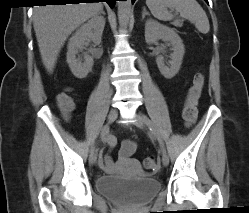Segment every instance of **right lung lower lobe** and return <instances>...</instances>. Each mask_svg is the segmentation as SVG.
Masks as SVG:
<instances>
[{
    "label": "right lung lower lobe",
    "mask_w": 249,
    "mask_h": 213,
    "mask_svg": "<svg viewBox=\"0 0 249 213\" xmlns=\"http://www.w3.org/2000/svg\"><path fill=\"white\" fill-rule=\"evenodd\" d=\"M81 1H105L109 4L111 8L114 7L116 0H45L47 3H54V4H66V3H79ZM93 3V2H92Z\"/></svg>",
    "instance_id": "obj_1"
}]
</instances>
